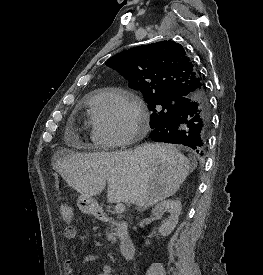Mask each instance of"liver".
<instances>
[{
  "instance_id": "1",
  "label": "liver",
  "mask_w": 263,
  "mask_h": 275,
  "mask_svg": "<svg viewBox=\"0 0 263 275\" xmlns=\"http://www.w3.org/2000/svg\"><path fill=\"white\" fill-rule=\"evenodd\" d=\"M195 167L173 146L153 143L125 152H59L53 162L80 194L92 198L108 183L110 203L135 204L140 211L174 195Z\"/></svg>"
}]
</instances>
